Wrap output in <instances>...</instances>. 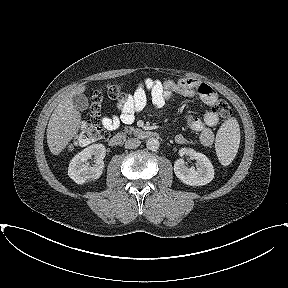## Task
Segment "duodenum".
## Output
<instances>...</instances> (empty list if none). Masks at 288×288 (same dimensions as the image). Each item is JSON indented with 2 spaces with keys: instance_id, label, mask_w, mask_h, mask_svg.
Masks as SVG:
<instances>
[{
  "instance_id": "410a0bca",
  "label": "duodenum",
  "mask_w": 288,
  "mask_h": 288,
  "mask_svg": "<svg viewBox=\"0 0 288 288\" xmlns=\"http://www.w3.org/2000/svg\"><path fill=\"white\" fill-rule=\"evenodd\" d=\"M134 136L140 139H150V138H157L158 133L153 130H146V129H131L119 134L114 135L110 140L109 144L112 147L120 146L124 143L128 136Z\"/></svg>"
}]
</instances>
